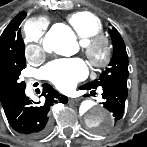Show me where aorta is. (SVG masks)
Returning <instances> with one entry per match:
<instances>
[{
    "label": "aorta",
    "instance_id": "aorta-1",
    "mask_svg": "<svg viewBox=\"0 0 147 147\" xmlns=\"http://www.w3.org/2000/svg\"><path fill=\"white\" fill-rule=\"evenodd\" d=\"M43 47L49 53L71 56L77 52L78 43L70 29L61 28L58 31L51 30L46 34ZM79 112L85 124L94 130H108L113 125L112 114L100 105L84 101L80 105Z\"/></svg>",
    "mask_w": 147,
    "mask_h": 147
}]
</instances>
